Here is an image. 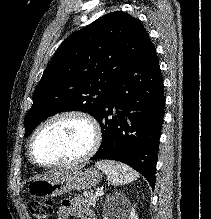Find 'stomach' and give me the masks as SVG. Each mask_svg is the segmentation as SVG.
Listing matches in <instances>:
<instances>
[{
	"mask_svg": "<svg viewBox=\"0 0 211 219\" xmlns=\"http://www.w3.org/2000/svg\"><path fill=\"white\" fill-rule=\"evenodd\" d=\"M101 173L93 168L61 171L31 182L28 192L39 198L58 196L74 190L89 189L99 184Z\"/></svg>",
	"mask_w": 211,
	"mask_h": 219,
	"instance_id": "1",
	"label": "stomach"
}]
</instances>
